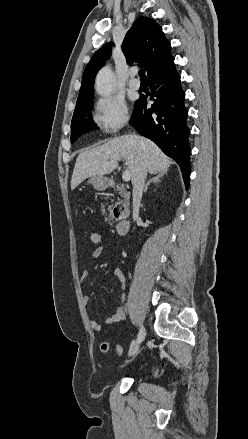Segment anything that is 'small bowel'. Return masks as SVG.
<instances>
[{
	"label": "small bowel",
	"mask_w": 248,
	"mask_h": 439,
	"mask_svg": "<svg viewBox=\"0 0 248 439\" xmlns=\"http://www.w3.org/2000/svg\"><path fill=\"white\" fill-rule=\"evenodd\" d=\"M103 253H104V247L103 246H98L97 248H95L93 250V252L91 254V257L93 259H95V258L100 257ZM88 273H89L88 270L85 269L82 272L81 279L82 280L86 279L87 276H88ZM113 277L121 284L122 287H124L125 277H124L123 272L119 268H116V269L113 270ZM123 299H124V296L122 295L121 296V301H123ZM83 300L87 304L89 302L90 298L88 296H84ZM124 319H125V312H124L123 308L121 306H119L117 308V310L114 313H112L105 320V323L106 324H114V323L121 322ZM90 326H91V328L94 331H100L101 328H102V325L99 322L95 321V320H90Z\"/></svg>",
	"instance_id": "obj_1"
}]
</instances>
